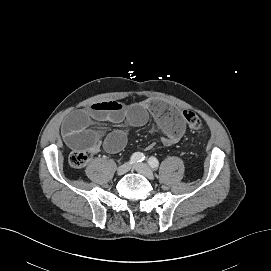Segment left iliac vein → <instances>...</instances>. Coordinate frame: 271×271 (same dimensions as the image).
<instances>
[{
    "label": "left iliac vein",
    "instance_id": "obj_1",
    "mask_svg": "<svg viewBox=\"0 0 271 271\" xmlns=\"http://www.w3.org/2000/svg\"><path fill=\"white\" fill-rule=\"evenodd\" d=\"M135 170L139 172L140 174L146 176L149 179L154 178L153 171L150 169V167L144 163H140L134 166Z\"/></svg>",
    "mask_w": 271,
    "mask_h": 271
}]
</instances>
